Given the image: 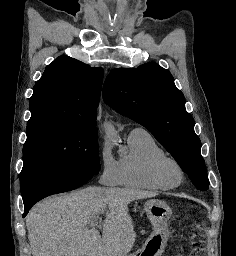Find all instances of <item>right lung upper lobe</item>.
Returning <instances> with one entry per match:
<instances>
[{
  "instance_id": "cb5924a9",
  "label": "right lung upper lobe",
  "mask_w": 236,
  "mask_h": 256,
  "mask_svg": "<svg viewBox=\"0 0 236 256\" xmlns=\"http://www.w3.org/2000/svg\"><path fill=\"white\" fill-rule=\"evenodd\" d=\"M103 69L68 56L55 59L36 82L28 123L49 121L96 126Z\"/></svg>"
}]
</instances>
